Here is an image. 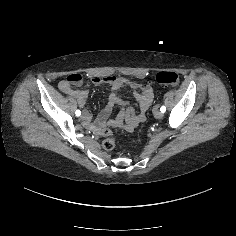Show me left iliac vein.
Wrapping results in <instances>:
<instances>
[{
	"instance_id": "obj_1",
	"label": "left iliac vein",
	"mask_w": 236,
	"mask_h": 236,
	"mask_svg": "<svg viewBox=\"0 0 236 236\" xmlns=\"http://www.w3.org/2000/svg\"><path fill=\"white\" fill-rule=\"evenodd\" d=\"M153 115H154L155 118L160 119V118H162L163 113L158 109H154Z\"/></svg>"
}]
</instances>
